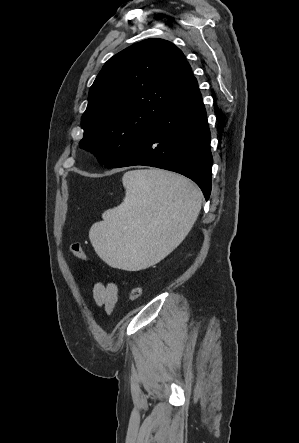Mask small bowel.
I'll return each mask as SVG.
<instances>
[{"label": "small bowel", "instance_id": "1", "mask_svg": "<svg viewBox=\"0 0 299 443\" xmlns=\"http://www.w3.org/2000/svg\"><path fill=\"white\" fill-rule=\"evenodd\" d=\"M119 289L114 282L97 281L93 286V298L98 307L105 310L107 314L112 313L118 301Z\"/></svg>", "mask_w": 299, "mask_h": 443}]
</instances>
